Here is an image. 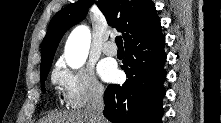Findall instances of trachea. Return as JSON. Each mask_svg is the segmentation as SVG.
<instances>
[{
	"instance_id": "1",
	"label": "trachea",
	"mask_w": 221,
	"mask_h": 123,
	"mask_svg": "<svg viewBox=\"0 0 221 123\" xmlns=\"http://www.w3.org/2000/svg\"><path fill=\"white\" fill-rule=\"evenodd\" d=\"M115 42L117 44L118 47H123V40L121 36H117L115 39Z\"/></svg>"
}]
</instances>
